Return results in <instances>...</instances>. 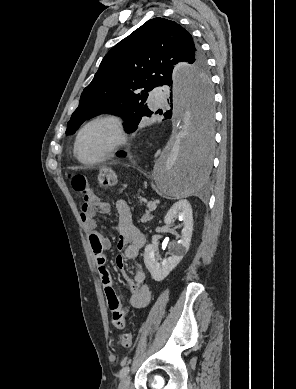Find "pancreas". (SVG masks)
Masks as SVG:
<instances>
[{
  "mask_svg": "<svg viewBox=\"0 0 296 389\" xmlns=\"http://www.w3.org/2000/svg\"><path fill=\"white\" fill-rule=\"evenodd\" d=\"M151 211H152V209H149V211H147V212L141 217L140 221H141L142 223H146V222L150 221V220L153 218V216L150 214Z\"/></svg>",
  "mask_w": 296,
  "mask_h": 389,
  "instance_id": "obj_1",
  "label": "pancreas"
}]
</instances>
